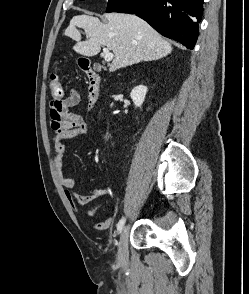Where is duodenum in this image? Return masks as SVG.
Segmentation results:
<instances>
[{
	"label": "duodenum",
	"mask_w": 249,
	"mask_h": 294,
	"mask_svg": "<svg viewBox=\"0 0 249 294\" xmlns=\"http://www.w3.org/2000/svg\"><path fill=\"white\" fill-rule=\"evenodd\" d=\"M83 69L88 77L87 99L88 107L91 109L96 106L101 96V76L88 63L83 66Z\"/></svg>",
	"instance_id": "obj_1"
}]
</instances>
